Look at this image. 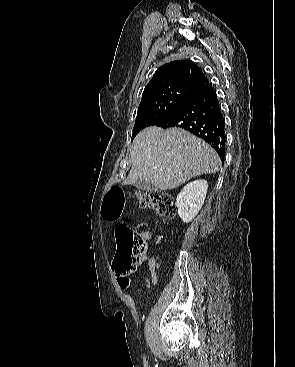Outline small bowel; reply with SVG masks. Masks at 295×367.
<instances>
[{
	"label": "small bowel",
	"instance_id": "obj_1",
	"mask_svg": "<svg viewBox=\"0 0 295 367\" xmlns=\"http://www.w3.org/2000/svg\"><path fill=\"white\" fill-rule=\"evenodd\" d=\"M144 237L147 238L148 234H144ZM148 266H149V271H150V279L145 280L142 283V285L144 286H149L150 284H156L158 282V276L156 273V270L158 268V263L153 256H150L148 258ZM115 278H116L118 286L121 289H127L134 284L130 277H128L127 275L118 274L116 271H115Z\"/></svg>",
	"mask_w": 295,
	"mask_h": 367
}]
</instances>
